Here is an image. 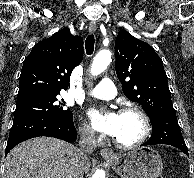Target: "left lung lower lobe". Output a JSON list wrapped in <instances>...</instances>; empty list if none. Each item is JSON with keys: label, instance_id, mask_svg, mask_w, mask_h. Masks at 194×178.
I'll return each mask as SVG.
<instances>
[{"label": "left lung lower lobe", "instance_id": "left-lung-lower-lobe-1", "mask_svg": "<svg viewBox=\"0 0 194 178\" xmlns=\"http://www.w3.org/2000/svg\"><path fill=\"white\" fill-rule=\"evenodd\" d=\"M151 119V138L142 146L155 144H168L179 148L188 155V149L182 137L175 112H162L154 114Z\"/></svg>", "mask_w": 194, "mask_h": 178}]
</instances>
